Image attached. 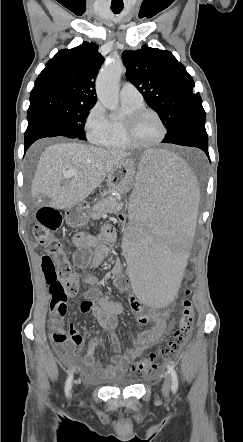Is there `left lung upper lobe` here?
Here are the masks:
<instances>
[{
    "label": "left lung upper lobe",
    "instance_id": "obj_1",
    "mask_svg": "<svg viewBox=\"0 0 243 442\" xmlns=\"http://www.w3.org/2000/svg\"><path fill=\"white\" fill-rule=\"evenodd\" d=\"M122 59L127 78L141 92L147 104L167 128L163 142L174 136L190 120L205 117L200 94L184 65L167 50L142 46L126 50Z\"/></svg>",
    "mask_w": 243,
    "mask_h": 442
}]
</instances>
